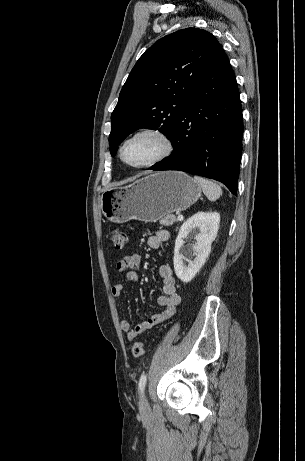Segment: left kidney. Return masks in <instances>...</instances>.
<instances>
[{"label": "left kidney", "mask_w": 305, "mask_h": 461, "mask_svg": "<svg viewBox=\"0 0 305 461\" xmlns=\"http://www.w3.org/2000/svg\"><path fill=\"white\" fill-rule=\"evenodd\" d=\"M219 223V213L198 212L181 226L175 241L173 263L175 273L182 282H190L205 264L211 251V244L217 236ZM190 233L194 234L196 244L191 249L186 250L184 239ZM192 253L194 259L188 260V266H185L183 259L186 256H192Z\"/></svg>", "instance_id": "obj_1"}]
</instances>
